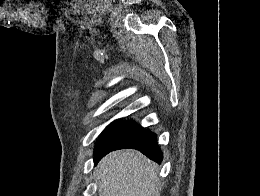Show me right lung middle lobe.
Returning <instances> with one entry per match:
<instances>
[{"label": "right lung middle lobe", "instance_id": "right-lung-middle-lobe-1", "mask_svg": "<svg viewBox=\"0 0 260 196\" xmlns=\"http://www.w3.org/2000/svg\"><path fill=\"white\" fill-rule=\"evenodd\" d=\"M141 130L143 128L132 120H115L100 135L96 142L95 152L116 147Z\"/></svg>", "mask_w": 260, "mask_h": 196}]
</instances>
